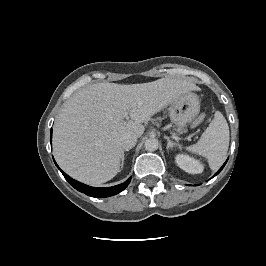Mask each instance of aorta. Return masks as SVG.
Wrapping results in <instances>:
<instances>
[{
	"label": "aorta",
	"mask_w": 266,
	"mask_h": 266,
	"mask_svg": "<svg viewBox=\"0 0 266 266\" xmlns=\"http://www.w3.org/2000/svg\"><path fill=\"white\" fill-rule=\"evenodd\" d=\"M144 146L147 151H155L158 149V140L155 138H149L145 141Z\"/></svg>",
	"instance_id": "obj_1"
}]
</instances>
